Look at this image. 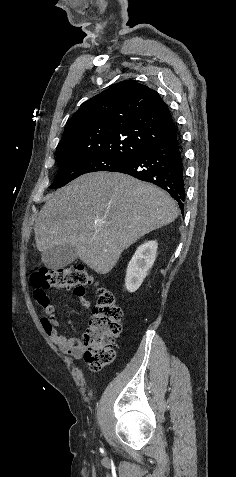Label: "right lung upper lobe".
Wrapping results in <instances>:
<instances>
[{"instance_id":"obj_1","label":"right lung upper lobe","mask_w":236,"mask_h":477,"mask_svg":"<svg viewBox=\"0 0 236 477\" xmlns=\"http://www.w3.org/2000/svg\"><path fill=\"white\" fill-rule=\"evenodd\" d=\"M176 132L158 93L123 81L84 102L66 123L57 160L86 155L132 158Z\"/></svg>"}]
</instances>
